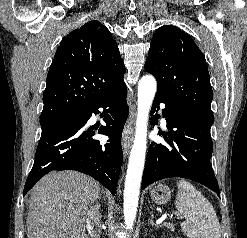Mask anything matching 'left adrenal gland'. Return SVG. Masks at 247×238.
<instances>
[{
	"label": "left adrenal gland",
	"mask_w": 247,
	"mask_h": 238,
	"mask_svg": "<svg viewBox=\"0 0 247 238\" xmlns=\"http://www.w3.org/2000/svg\"><path fill=\"white\" fill-rule=\"evenodd\" d=\"M151 218L148 220V223L153 226V227H158V225H156L153 221L154 215L152 213H150Z\"/></svg>",
	"instance_id": "a2214340"
}]
</instances>
